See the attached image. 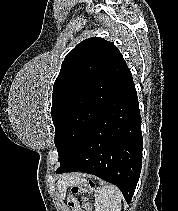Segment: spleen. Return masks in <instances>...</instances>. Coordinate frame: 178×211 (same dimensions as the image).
Masks as SVG:
<instances>
[{
    "label": "spleen",
    "instance_id": "1",
    "mask_svg": "<svg viewBox=\"0 0 178 211\" xmlns=\"http://www.w3.org/2000/svg\"><path fill=\"white\" fill-rule=\"evenodd\" d=\"M122 193L113 185L100 183L95 190V211H121Z\"/></svg>",
    "mask_w": 178,
    "mask_h": 211
}]
</instances>
